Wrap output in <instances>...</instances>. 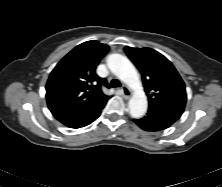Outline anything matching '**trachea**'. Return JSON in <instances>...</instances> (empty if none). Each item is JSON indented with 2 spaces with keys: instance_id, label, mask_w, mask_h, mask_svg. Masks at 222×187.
Wrapping results in <instances>:
<instances>
[{
  "instance_id": "1",
  "label": "trachea",
  "mask_w": 222,
  "mask_h": 187,
  "mask_svg": "<svg viewBox=\"0 0 222 187\" xmlns=\"http://www.w3.org/2000/svg\"><path fill=\"white\" fill-rule=\"evenodd\" d=\"M110 86L113 88H117L121 86V83L117 79H113L110 83Z\"/></svg>"
}]
</instances>
